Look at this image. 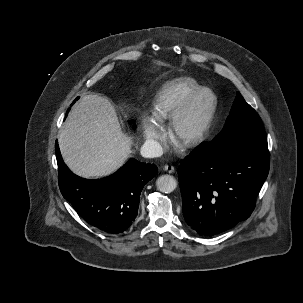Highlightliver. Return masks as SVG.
Instances as JSON below:
<instances>
[{
    "label": "liver",
    "mask_w": 303,
    "mask_h": 303,
    "mask_svg": "<svg viewBox=\"0 0 303 303\" xmlns=\"http://www.w3.org/2000/svg\"><path fill=\"white\" fill-rule=\"evenodd\" d=\"M58 141L65 163L82 177L111 174L129 157L132 144L111 103L98 95H85L75 105Z\"/></svg>",
    "instance_id": "obj_1"
}]
</instances>
